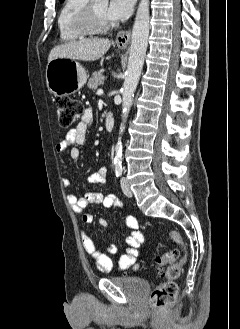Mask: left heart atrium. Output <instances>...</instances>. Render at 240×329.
<instances>
[{"label":"left heart atrium","instance_id":"1","mask_svg":"<svg viewBox=\"0 0 240 329\" xmlns=\"http://www.w3.org/2000/svg\"><path fill=\"white\" fill-rule=\"evenodd\" d=\"M135 0H110L106 10L105 16L110 21H123L127 19L132 10Z\"/></svg>","mask_w":240,"mask_h":329}]
</instances>
